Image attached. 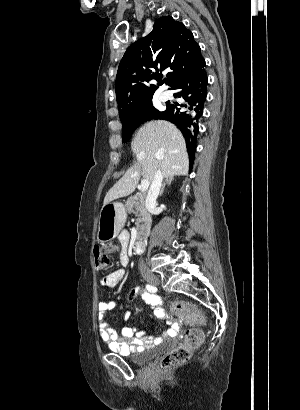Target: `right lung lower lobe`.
Listing matches in <instances>:
<instances>
[{
	"label": "right lung lower lobe",
	"mask_w": 300,
	"mask_h": 410,
	"mask_svg": "<svg viewBox=\"0 0 300 410\" xmlns=\"http://www.w3.org/2000/svg\"><path fill=\"white\" fill-rule=\"evenodd\" d=\"M205 67V60L201 57L173 84L171 89L176 90L174 96L183 98L185 103L168 105L165 111L159 112L154 117V119L168 120L181 130L186 140L187 150H190L188 154L191 165L194 161V155L190 158V153L196 150L198 124L207 96L208 78Z\"/></svg>",
	"instance_id": "98d812e1"
}]
</instances>
